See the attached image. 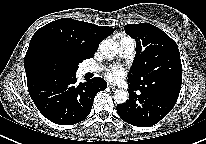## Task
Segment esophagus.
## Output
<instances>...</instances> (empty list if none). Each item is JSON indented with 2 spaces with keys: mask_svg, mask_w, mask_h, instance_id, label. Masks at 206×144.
Masks as SVG:
<instances>
[{
  "mask_svg": "<svg viewBox=\"0 0 206 144\" xmlns=\"http://www.w3.org/2000/svg\"><path fill=\"white\" fill-rule=\"evenodd\" d=\"M108 88H110L111 90H115L116 89V86L115 85H112L111 83L108 84Z\"/></svg>",
  "mask_w": 206,
  "mask_h": 144,
  "instance_id": "1",
  "label": "esophagus"
}]
</instances>
